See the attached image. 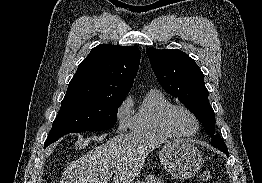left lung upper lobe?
Instances as JSON below:
<instances>
[{"instance_id": "obj_1", "label": "left lung upper lobe", "mask_w": 262, "mask_h": 183, "mask_svg": "<svg viewBox=\"0 0 262 183\" xmlns=\"http://www.w3.org/2000/svg\"><path fill=\"white\" fill-rule=\"evenodd\" d=\"M152 69L160 85L177 97L204 125L212 137V145L227 149L219 134H215V115L208 100L204 75L196 62L178 49L148 48Z\"/></svg>"}]
</instances>
